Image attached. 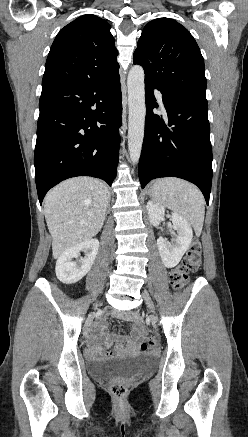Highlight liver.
I'll use <instances>...</instances> for the list:
<instances>
[{
	"label": "liver",
	"mask_w": 248,
	"mask_h": 437,
	"mask_svg": "<svg viewBox=\"0 0 248 437\" xmlns=\"http://www.w3.org/2000/svg\"><path fill=\"white\" fill-rule=\"evenodd\" d=\"M109 201L107 186L86 176L68 179L46 195L44 214L55 259L101 230Z\"/></svg>",
	"instance_id": "obj_1"
}]
</instances>
